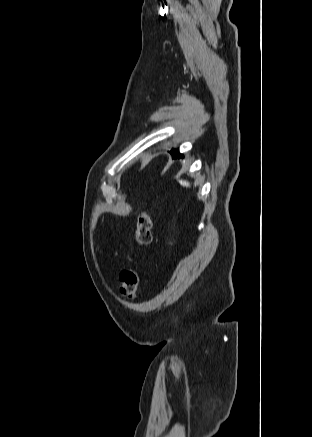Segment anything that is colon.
Wrapping results in <instances>:
<instances>
[{"label":"colon","instance_id":"1","mask_svg":"<svg viewBox=\"0 0 312 437\" xmlns=\"http://www.w3.org/2000/svg\"><path fill=\"white\" fill-rule=\"evenodd\" d=\"M152 221L147 211L139 214L135 240L139 247L145 248L152 241ZM139 284V274L133 267L123 269L119 274V293L125 298H134Z\"/></svg>","mask_w":312,"mask_h":437}]
</instances>
